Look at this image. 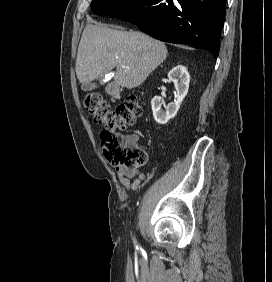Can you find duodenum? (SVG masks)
<instances>
[{"label":"duodenum","instance_id":"1","mask_svg":"<svg viewBox=\"0 0 272 282\" xmlns=\"http://www.w3.org/2000/svg\"><path fill=\"white\" fill-rule=\"evenodd\" d=\"M108 90H109L110 94H111L113 97L117 98V97L120 96L121 87H120L119 85H117V84H111V85L109 86Z\"/></svg>","mask_w":272,"mask_h":282}]
</instances>
